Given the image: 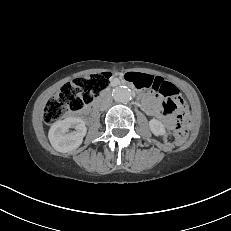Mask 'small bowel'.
<instances>
[{
	"label": "small bowel",
	"mask_w": 231,
	"mask_h": 231,
	"mask_svg": "<svg viewBox=\"0 0 231 231\" xmlns=\"http://www.w3.org/2000/svg\"><path fill=\"white\" fill-rule=\"evenodd\" d=\"M127 77L136 88L149 91L148 93H142L143 99L145 100L144 108L147 113L157 118H162L168 126L174 125L176 121L175 118L170 114L172 109H169V105L172 101L166 100L161 102L152 95L153 92H158L159 88L163 84L174 85L161 76L148 73L130 72L127 74ZM179 108L185 109L184 104L179 102Z\"/></svg>",
	"instance_id": "1"
}]
</instances>
